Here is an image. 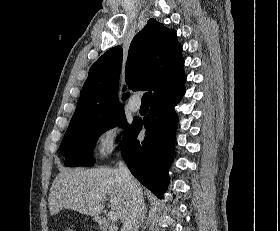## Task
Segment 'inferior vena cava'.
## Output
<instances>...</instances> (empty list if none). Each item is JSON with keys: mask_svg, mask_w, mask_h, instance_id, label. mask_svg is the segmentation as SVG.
Segmentation results:
<instances>
[{"mask_svg": "<svg viewBox=\"0 0 280 231\" xmlns=\"http://www.w3.org/2000/svg\"><path fill=\"white\" fill-rule=\"evenodd\" d=\"M118 167L124 183H127L131 197L129 213L123 221L122 231H139L140 221L144 217L145 209L142 189L140 183L137 179H134L127 165L121 159L118 161Z\"/></svg>", "mask_w": 280, "mask_h": 231, "instance_id": "obj_1", "label": "inferior vena cava"}]
</instances>
